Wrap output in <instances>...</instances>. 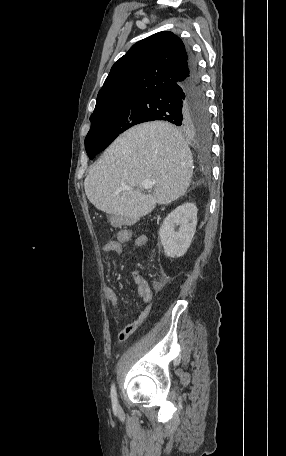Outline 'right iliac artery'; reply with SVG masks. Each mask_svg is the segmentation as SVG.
Instances as JSON below:
<instances>
[{
    "label": "right iliac artery",
    "instance_id": "obj_1",
    "mask_svg": "<svg viewBox=\"0 0 286 456\" xmlns=\"http://www.w3.org/2000/svg\"><path fill=\"white\" fill-rule=\"evenodd\" d=\"M111 400H112L113 406L116 407L118 404V400H117V393H116V388H115L114 384L111 387Z\"/></svg>",
    "mask_w": 286,
    "mask_h": 456
}]
</instances>
